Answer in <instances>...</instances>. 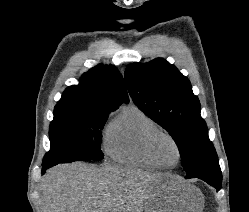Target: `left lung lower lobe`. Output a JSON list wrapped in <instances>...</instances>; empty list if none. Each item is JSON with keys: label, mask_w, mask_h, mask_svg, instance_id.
Listing matches in <instances>:
<instances>
[{"label": "left lung lower lobe", "mask_w": 249, "mask_h": 212, "mask_svg": "<svg viewBox=\"0 0 249 212\" xmlns=\"http://www.w3.org/2000/svg\"><path fill=\"white\" fill-rule=\"evenodd\" d=\"M188 178V177H186ZM192 178V177H191ZM196 178L202 179L203 181L207 182L209 185L213 186L214 188L219 191L222 186V173H207L203 175H198Z\"/></svg>", "instance_id": "1"}]
</instances>
